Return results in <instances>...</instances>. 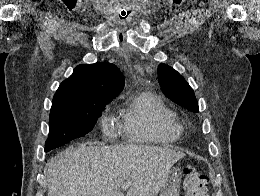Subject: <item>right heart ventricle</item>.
<instances>
[{
  "mask_svg": "<svg viewBox=\"0 0 260 196\" xmlns=\"http://www.w3.org/2000/svg\"><path fill=\"white\" fill-rule=\"evenodd\" d=\"M122 125L139 143L165 145L176 141L182 132L176 115L161 100L143 87H136L127 108L121 113ZM89 192H120L90 190Z\"/></svg>",
  "mask_w": 260,
  "mask_h": 196,
  "instance_id": "1",
  "label": "right heart ventricle"
}]
</instances>
